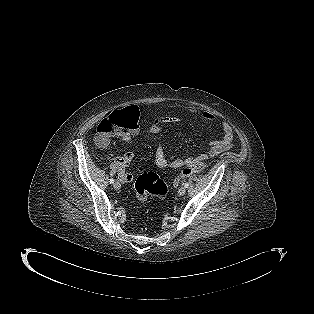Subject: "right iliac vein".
Here are the masks:
<instances>
[{"label": "right iliac vein", "mask_w": 314, "mask_h": 314, "mask_svg": "<svg viewBox=\"0 0 314 314\" xmlns=\"http://www.w3.org/2000/svg\"><path fill=\"white\" fill-rule=\"evenodd\" d=\"M113 187H114V189L119 190L121 188V184L118 181H116L114 183Z\"/></svg>", "instance_id": "63e3f726"}]
</instances>
